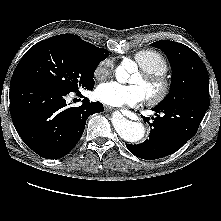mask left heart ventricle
<instances>
[{
  "instance_id": "left-heart-ventricle-1",
  "label": "left heart ventricle",
  "mask_w": 221,
  "mask_h": 221,
  "mask_svg": "<svg viewBox=\"0 0 221 221\" xmlns=\"http://www.w3.org/2000/svg\"><path fill=\"white\" fill-rule=\"evenodd\" d=\"M130 82L132 84H136V85L141 86L146 95L154 89L153 86L147 84V82L143 79V77L141 76L140 73L135 74L131 78Z\"/></svg>"
}]
</instances>
